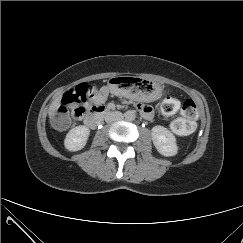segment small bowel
Masks as SVG:
<instances>
[{
    "mask_svg": "<svg viewBox=\"0 0 243 243\" xmlns=\"http://www.w3.org/2000/svg\"><path fill=\"white\" fill-rule=\"evenodd\" d=\"M107 96H108V90L106 87H102L100 89L94 90L91 103L95 104V106H101V104H103L106 101ZM137 108L144 118L151 119L153 117V111L149 105L139 103L137 105Z\"/></svg>",
    "mask_w": 243,
    "mask_h": 243,
    "instance_id": "c3829d8e",
    "label": "small bowel"
}]
</instances>
